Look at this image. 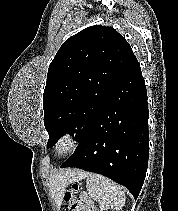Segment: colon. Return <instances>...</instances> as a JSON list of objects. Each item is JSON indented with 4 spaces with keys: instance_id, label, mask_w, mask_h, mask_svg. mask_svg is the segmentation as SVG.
I'll return each mask as SVG.
<instances>
[{
    "instance_id": "1",
    "label": "colon",
    "mask_w": 178,
    "mask_h": 211,
    "mask_svg": "<svg viewBox=\"0 0 178 211\" xmlns=\"http://www.w3.org/2000/svg\"><path fill=\"white\" fill-rule=\"evenodd\" d=\"M80 191L79 184H73L71 189L64 194V199L68 204L69 211H77V207L74 200V195Z\"/></svg>"
}]
</instances>
